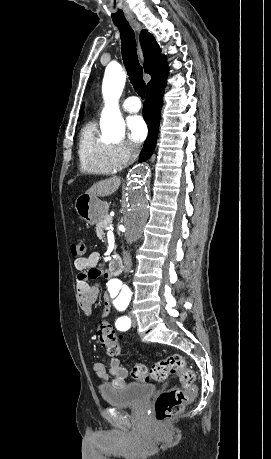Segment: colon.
Masks as SVG:
<instances>
[{"label": "colon", "mask_w": 271, "mask_h": 459, "mask_svg": "<svg viewBox=\"0 0 271 459\" xmlns=\"http://www.w3.org/2000/svg\"><path fill=\"white\" fill-rule=\"evenodd\" d=\"M87 252L86 244L79 240L71 246L73 258H83ZM97 337L108 353L117 357L121 354L116 332L107 321H101L97 329ZM169 375H176L181 381V387H174L162 392L155 401V418L159 423H164L178 415L183 406L191 401L196 394L194 385L195 373L186 365L180 354H172L156 363L150 368L141 363H136L131 368V376L138 381L148 382L163 381Z\"/></svg>", "instance_id": "colon-1"}]
</instances>
